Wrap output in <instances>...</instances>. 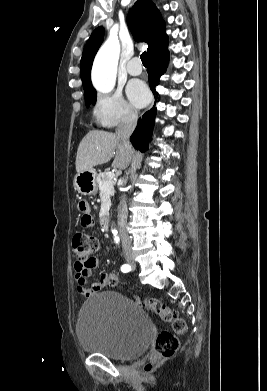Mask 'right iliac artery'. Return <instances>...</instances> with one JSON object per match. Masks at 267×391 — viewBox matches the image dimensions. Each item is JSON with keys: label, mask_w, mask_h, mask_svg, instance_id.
Segmentation results:
<instances>
[{"label": "right iliac artery", "mask_w": 267, "mask_h": 391, "mask_svg": "<svg viewBox=\"0 0 267 391\" xmlns=\"http://www.w3.org/2000/svg\"><path fill=\"white\" fill-rule=\"evenodd\" d=\"M130 269H131V267L126 264L121 267L122 272H129Z\"/></svg>", "instance_id": "1"}]
</instances>
